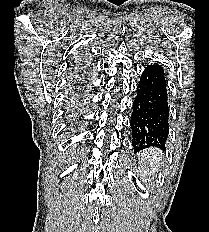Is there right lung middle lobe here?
I'll return each mask as SVG.
<instances>
[{
  "mask_svg": "<svg viewBox=\"0 0 209 232\" xmlns=\"http://www.w3.org/2000/svg\"><path fill=\"white\" fill-rule=\"evenodd\" d=\"M78 89L72 87L70 88L69 92H68V97L70 99V102L73 106H75L77 104V94H78Z\"/></svg>",
  "mask_w": 209,
  "mask_h": 232,
  "instance_id": "obj_1",
  "label": "right lung middle lobe"
}]
</instances>
